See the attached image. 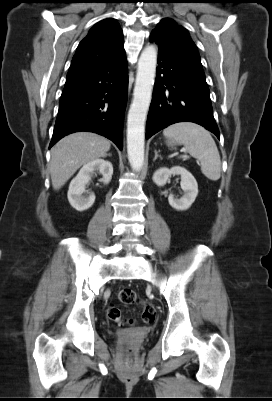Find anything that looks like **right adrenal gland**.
Returning a JSON list of instances; mask_svg holds the SVG:
<instances>
[{
    "label": "right adrenal gland",
    "instance_id": "right-adrenal-gland-1",
    "mask_svg": "<svg viewBox=\"0 0 272 401\" xmlns=\"http://www.w3.org/2000/svg\"><path fill=\"white\" fill-rule=\"evenodd\" d=\"M112 154L111 153H108L106 156H111Z\"/></svg>",
    "mask_w": 272,
    "mask_h": 401
}]
</instances>
